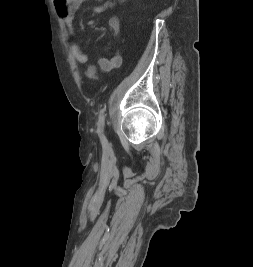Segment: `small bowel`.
I'll list each match as a JSON object with an SVG mask.
<instances>
[{
  "instance_id": "1",
  "label": "small bowel",
  "mask_w": 253,
  "mask_h": 267,
  "mask_svg": "<svg viewBox=\"0 0 253 267\" xmlns=\"http://www.w3.org/2000/svg\"><path fill=\"white\" fill-rule=\"evenodd\" d=\"M86 0H54L56 11L62 21L64 22L69 38L71 39L70 50L73 57L81 64L87 62V56L82 52L79 43L75 39V33L73 28L74 16L80 6ZM100 1V0H98ZM115 0L105 1L101 5L91 7L89 10L93 13H102L114 6ZM109 26L113 30L115 35H118L120 31V20L118 17L113 16L109 19ZM120 57L116 56L112 59V64L117 66L120 64Z\"/></svg>"
}]
</instances>
